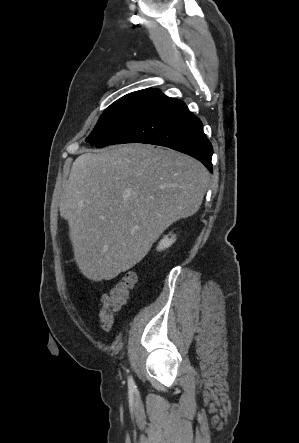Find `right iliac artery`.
Segmentation results:
<instances>
[{"label":"right iliac artery","mask_w":299,"mask_h":443,"mask_svg":"<svg viewBox=\"0 0 299 443\" xmlns=\"http://www.w3.org/2000/svg\"><path fill=\"white\" fill-rule=\"evenodd\" d=\"M128 386L131 390L135 389V384H134V381L131 377H129V379H128Z\"/></svg>","instance_id":"right-iliac-artery-1"}]
</instances>
